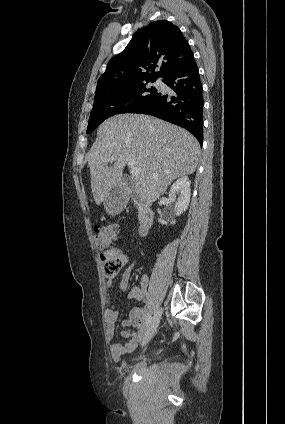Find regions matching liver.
Returning a JSON list of instances; mask_svg holds the SVG:
<instances>
[{
  "instance_id": "obj_1",
  "label": "liver",
  "mask_w": 285,
  "mask_h": 424,
  "mask_svg": "<svg viewBox=\"0 0 285 424\" xmlns=\"http://www.w3.org/2000/svg\"><path fill=\"white\" fill-rule=\"evenodd\" d=\"M199 154V142L181 127L148 115L113 116L99 126L87 154L95 203L100 205L117 185L129 160L141 169L135 191L150 204L173 180L195 171ZM112 156L115 163L108 166Z\"/></svg>"
}]
</instances>
